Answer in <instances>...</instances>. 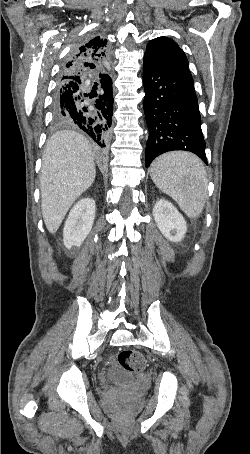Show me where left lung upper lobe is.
Returning <instances> with one entry per match:
<instances>
[{
    "mask_svg": "<svg viewBox=\"0 0 250 454\" xmlns=\"http://www.w3.org/2000/svg\"><path fill=\"white\" fill-rule=\"evenodd\" d=\"M145 55L164 65L188 68V60L183 50L176 42L167 37L151 40L147 45Z\"/></svg>",
    "mask_w": 250,
    "mask_h": 454,
    "instance_id": "5c2ea615",
    "label": "left lung upper lobe"
}]
</instances>
